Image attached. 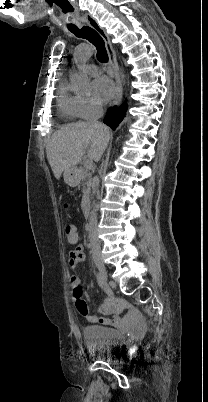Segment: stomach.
<instances>
[{
    "mask_svg": "<svg viewBox=\"0 0 208 402\" xmlns=\"http://www.w3.org/2000/svg\"><path fill=\"white\" fill-rule=\"evenodd\" d=\"M63 178L65 184H68L71 188H75V186L80 184V176L76 168H67V170H64Z\"/></svg>",
    "mask_w": 208,
    "mask_h": 402,
    "instance_id": "0dacf381",
    "label": "stomach"
}]
</instances>
